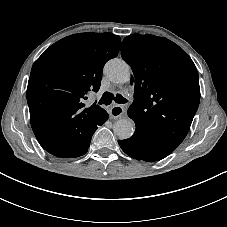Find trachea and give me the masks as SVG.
Listing matches in <instances>:
<instances>
[{
  "label": "trachea",
  "instance_id": "3493384b",
  "mask_svg": "<svg viewBox=\"0 0 227 227\" xmlns=\"http://www.w3.org/2000/svg\"><path fill=\"white\" fill-rule=\"evenodd\" d=\"M115 101L118 104H125L128 102V100L126 98H124L121 94H117L115 97L113 96L112 93L110 92H105L100 101L98 102L99 105H110L112 101Z\"/></svg>",
  "mask_w": 227,
  "mask_h": 227
}]
</instances>
